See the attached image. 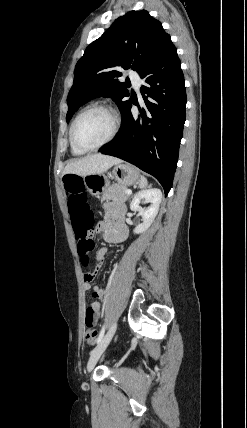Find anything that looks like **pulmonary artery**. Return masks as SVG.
I'll use <instances>...</instances> for the list:
<instances>
[{"label": "pulmonary artery", "mask_w": 247, "mask_h": 428, "mask_svg": "<svg viewBox=\"0 0 247 428\" xmlns=\"http://www.w3.org/2000/svg\"><path fill=\"white\" fill-rule=\"evenodd\" d=\"M129 77L133 81L134 85L138 88L140 85V78H139L138 74L133 72V71H130Z\"/></svg>", "instance_id": "e3ab8cb5"}]
</instances>
